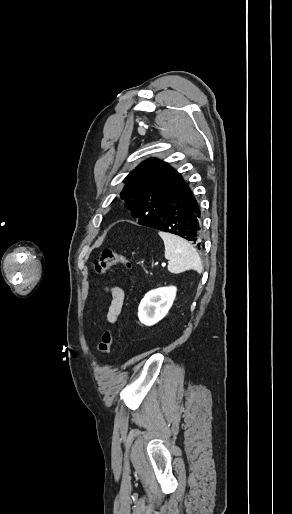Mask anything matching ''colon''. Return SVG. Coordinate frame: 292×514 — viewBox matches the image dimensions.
<instances>
[{"mask_svg": "<svg viewBox=\"0 0 292 514\" xmlns=\"http://www.w3.org/2000/svg\"><path fill=\"white\" fill-rule=\"evenodd\" d=\"M118 265L130 266L129 259L126 255L109 246L103 248L101 254L93 260V269L97 274H103L110 268ZM114 342V331L111 328H107L97 344V351L103 356H108Z\"/></svg>", "mask_w": 292, "mask_h": 514, "instance_id": "1", "label": "colon"}]
</instances>
